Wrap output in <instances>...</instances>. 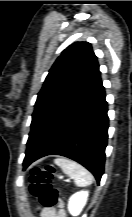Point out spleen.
Wrapping results in <instances>:
<instances>
[{
    "instance_id": "obj_1",
    "label": "spleen",
    "mask_w": 132,
    "mask_h": 217,
    "mask_svg": "<svg viewBox=\"0 0 132 217\" xmlns=\"http://www.w3.org/2000/svg\"><path fill=\"white\" fill-rule=\"evenodd\" d=\"M54 162L67 176L74 179L76 186L84 187L92 184V174L79 163L67 158H57Z\"/></svg>"
}]
</instances>
